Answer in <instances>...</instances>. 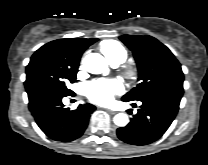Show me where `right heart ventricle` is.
<instances>
[{
  "mask_svg": "<svg viewBox=\"0 0 208 165\" xmlns=\"http://www.w3.org/2000/svg\"><path fill=\"white\" fill-rule=\"evenodd\" d=\"M100 49L111 64H120L127 58L126 49L115 40L103 41L100 45Z\"/></svg>",
  "mask_w": 208,
  "mask_h": 165,
  "instance_id": "right-heart-ventricle-1",
  "label": "right heart ventricle"
}]
</instances>
